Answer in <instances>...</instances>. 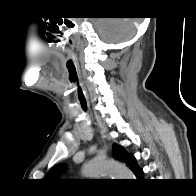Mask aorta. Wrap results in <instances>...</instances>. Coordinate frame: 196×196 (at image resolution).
<instances>
[{
  "instance_id": "762f6f07",
  "label": "aorta",
  "mask_w": 196,
  "mask_h": 196,
  "mask_svg": "<svg viewBox=\"0 0 196 196\" xmlns=\"http://www.w3.org/2000/svg\"><path fill=\"white\" fill-rule=\"evenodd\" d=\"M83 174L87 177L109 175L114 179H134V174L122 163L111 159H94L83 166Z\"/></svg>"
}]
</instances>
